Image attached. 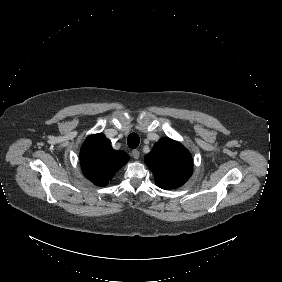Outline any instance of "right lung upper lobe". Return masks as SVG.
I'll return each instance as SVG.
<instances>
[{
  "label": "right lung upper lobe",
  "mask_w": 282,
  "mask_h": 282,
  "mask_svg": "<svg viewBox=\"0 0 282 282\" xmlns=\"http://www.w3.org/2000/svg\"><path fill=\"white\" fill-rule=\"evenodd\" d=\"M123 151L112 149L109 140L102 134L90 135L80 151V164L84 175L95 185L105 186L114 174L127 163Z\"/></svg>",
  "instance_id": "right-lung-upper-lobe-1"
}]
</instances>
